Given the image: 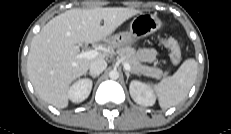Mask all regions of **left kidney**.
Listing matches in <instances>:
<instances>
[{
  "label": "left kidney",
  "mask_w": 231,
  "mask_h": 134,
  "mask_svg": "<svg viewBox=\"0 0 231 134\" xmlns=\"http://www.w3.org/2000/svg\"><path fill=\"white\" fill-rule=\"evenodd\" d=\"M129 91L132 99L139 105L152 106L155 104L156 97L149 86L133 80L129 85Z\"/></svg>",
  "instance_id": "obj_1"
}]
</instances>
